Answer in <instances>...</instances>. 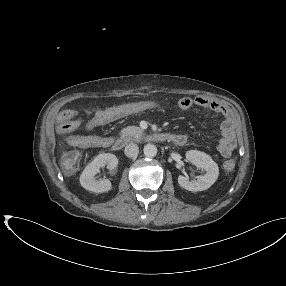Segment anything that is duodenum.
<instances>
[{
  "label": "duodenum",
  "mask_w": 286,
  "mask_h": 286,
  "mask_svg": "<svg viewBox=\"0 0 286 286\" xmlns=\"http://www.w3.org/2000/svg\"><path fill=\"white\" fill-rule=\"evenodd\" d=\"M145 139L154 141H170L178 146H183L186 143V138L184 136L168 132H161L152 135H147ZM126 142L127 141L124 138H118L112 140L111 149L114 151H120L125 146Z\"/></svg>",
  "instance_id": "duodenum-1"
}]
</instances>
